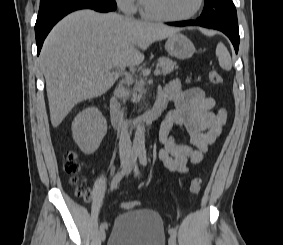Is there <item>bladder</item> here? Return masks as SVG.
<instances>
[{
	"label": "bladder",
	"mask_w": 283,
	"mask_h": 245,
	"mask_svg": "<svg viewBox=\"0 0 283 245\" xmlns=\"http://www.w3.org/2000/svg\"><path fill=\"white\" fill-rule=\"evenodd\" d=\"M107 245H166L160 215L148 208H130L114 221Z\"/></svg>",
	"instance_id": "bladder-1"
}]
</instances>
